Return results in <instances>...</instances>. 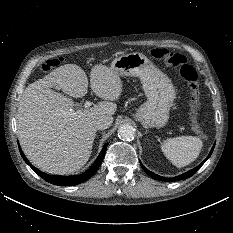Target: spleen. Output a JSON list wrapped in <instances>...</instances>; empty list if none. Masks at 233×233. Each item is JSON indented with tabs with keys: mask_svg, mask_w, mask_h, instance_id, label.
Masks as SVG:
<instances>
[{
	"mask_svg": "<svg viewBox=\"0 0 233 233\" xmlns=\"http://www.w3.org/2000/svg\"><path fill=\"white\" fill-rule=\"evenodd\" d=\"M202 141L195 136H179L163 141L161 149L176 167L187 166L199 156Z\"/></svg>",
	"mask_w": 233,
	"mask_h": 233,
	"instance_id": "3e777b00",
	"label": "spleen"
}]
</instances>
